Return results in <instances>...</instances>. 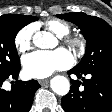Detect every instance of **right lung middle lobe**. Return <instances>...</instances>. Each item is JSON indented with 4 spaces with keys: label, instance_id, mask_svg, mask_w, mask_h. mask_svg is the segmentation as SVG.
Returning a JSON list of instances; mask_svg holds the SVG:
<instances>
[{
    "label": "right lung middle lobe",
    "instance_id": "right-lung-middle-lobe-1",
    "mask_svg": "<svg viewBox=\"0 0 112 112\" xmlns=\"http://www.w3.org/2000/svg\"><path fill=\"white\" fill-rule=\"evenodd\" d=\"M38 20L34 16L6 14L0 16V76L20 64L15 37L25 25Z\"/></svg>",
    "mask_w": 112,
    "mask_h": 112
}]
</instances>
